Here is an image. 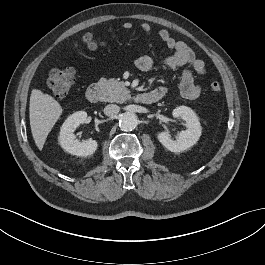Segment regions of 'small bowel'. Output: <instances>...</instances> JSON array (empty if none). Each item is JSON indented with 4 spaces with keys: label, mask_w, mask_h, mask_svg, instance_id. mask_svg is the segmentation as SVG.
Returning a JSON list of instances; mask_svg holds the SVG:
<instances>
[{
    "label": "small bowel",
    "mask_w": 265,
    "mask_h": 265,
    "mask_svg": "<svg viewBox=\"0 0 265 265\" xmlns=\"http://www.w3.org/2000/svg\"><path fill=\"white\" fill-rule=\"evenodd\" d=\"M130 22H125L122 26L124 32H129L132 29ZM141 31L145 35H150L152 32L151 26L144 22L140 25ZM159 37L170 53L160 61V64L168 69H178L186 67L182 72L180 82V92L188 99H196L200 96L202 88L196 82L197 77H203L206 72L204 61L196 58L192 49L184 42L175 40L167 30H160ZM136 67L142 72H149L154 67V60L148 54H142L135 60ZM154 91L166 94L165 87H159Z\"/></svg>",
    "instance_id": "obj_1"
}]
</instances>
